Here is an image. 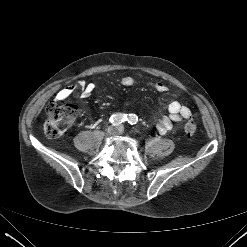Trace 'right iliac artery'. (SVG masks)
Returning <instances> with one entry per match:
<instances>
[{"mask_svg": "<svg viewBox=\"0 0 247 247\" xmlns=\"http://www.w3.org/2000/svg\"><path fill=\"white\" fill-rule=\"evenodd\" d=\"M127 115L126 114H115V115H112L111 118H110V122L114 125V126H118L120 125L121 123L127 121Z\"/></svg>", "mask_w": 247, "mask_h": 247, "instance_id": "82829eb1", "label": "right iliac artery"}]
</instances>
